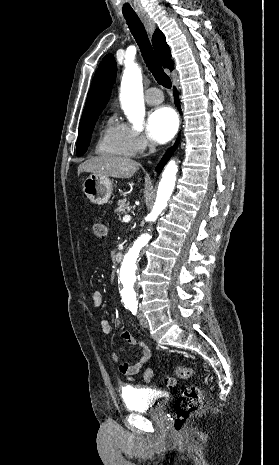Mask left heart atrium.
I'll return each instance as SVG.
<instances>
[{
    "label": "left heart atrium",
    "mask_w": 279,
    "mask_h": 465,
    "mask_svg": "<svg viewBox=\"0 0 279 465\" xmlns=\"http://www.w3.org/2000/svg\"><path fill=\"white\" fill-rule=\"evenodd\" d=\"M178 119L170 107H159L153 110L147 121L148 136L157 143L169 141L176 133Z\"/></svg>",
    "instance_id": "left-heart-atrium-1"
}]
</instances>
